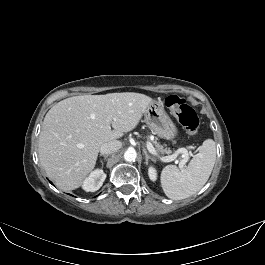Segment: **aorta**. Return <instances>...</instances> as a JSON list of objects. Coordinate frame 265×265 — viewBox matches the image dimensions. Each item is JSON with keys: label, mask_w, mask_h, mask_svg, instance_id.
I'll list each match as a JSON object with an SVG mask.
<instances>
[{"label": "aorta", "mask_w": 265, "mask_h": 265, "mask_svg": "<svg viewBox=\"0 0 265 265\" xmlns=\"http://www.w3.org/2000/svg\"><path fill=\"white\" fill-rule=\"evenodd\" d=\"M136 157H137V153L134 149H128L124 153V159L128 162L135 161Z\"/></svg>", "instance_id": "aorta-1"}]
</instances>
